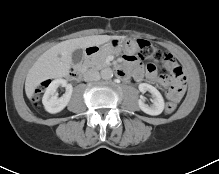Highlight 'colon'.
Here are the masks:
<instances>
[{
  "label": "colon",
  "instance_id": "5ec220e1",
  "mask_svg": "<svg viewBox=\"0 0 219 174\" xmlns=\"http://www.w3.org/2000/svg\"><path fill=\"white\" fill-rule=\"evenodd\" d=\"M138 46H139L138 56L142 60H152L155 62H162L163 60H165V54L161 50H159L156 46H154L151 42L140 39L138 40ZM166 74H167V70L162 69L161 75H166ZM180 74L181 72L179 71L175 72L176 76H180ZM48 85H49V81L47 80L38 86L33 96L35 102L39 100L41 93ZM176 107H177L176 103L168 102L165 106V112L171 114L176 110Z\"/></svg>",
  "mask_w": 219,
  "mask_h": 174
}]
</instances>
